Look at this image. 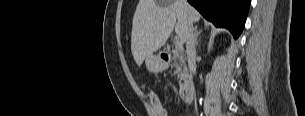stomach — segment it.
<instances>
[{
	"mask_svg": "<svg viewBox=\"0 0 305 116\" xmlns=\"http://www.w3.org/2000/svg\"><path fill=\"white\" fill-rule=\"evenodd\" d=\"M148 71L152 73L162 72L166 68V63L160 55L152 54L145 60Z\"/></svg>",
	"mask_w": 305,
	"mask_h": 116,
	"instance_id": "0dacf381",
	"label": "stomach"
}]
</instances>
